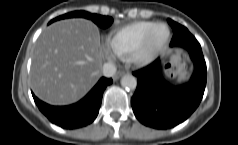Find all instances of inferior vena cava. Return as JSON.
Returning <instances> with one entry per match:
<instances>
[{"label":"inferior vena cava","instance_id":"1","mask_svg":"<svg viewBox=\"0 0 238 145\" xmlns=\"http://www.w3.org/2000/svg\"><path fill=\"white\" fill-rule=\"evenodd\" d=\"M116 73V66L113 63H104L102 67V74L105 77H112Z\"/></svg>","mask_w":238,"mask_h":145}]
</instances>
